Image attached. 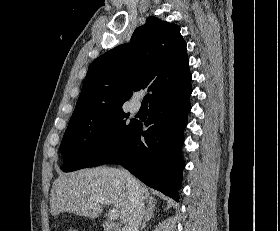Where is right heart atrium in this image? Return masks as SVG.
I'll return each instance as SVG.
<instances>
[{
	"instance_id": "obj_1",
	"label": "right heart atrium",
	"mask_w": 280,
	"mask_h": 231,
	"mask_svg": "<svg viewBox=\"0 0 280 231\" xmlns=\"http://www.w3.org/2000/svg\"><path fill=\"white\" fill-rule=\"evenodd\" d=\"M112 140H113V134L111 132H107L103 135L101 142L103 146H108L111 144Z\"/></svg>"
}]
</instances>
